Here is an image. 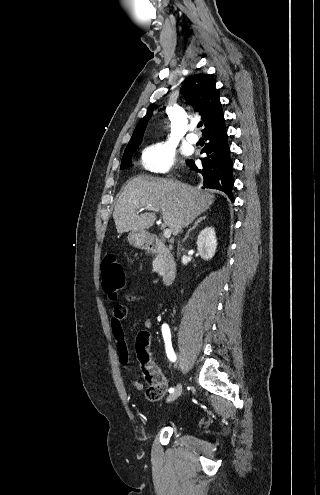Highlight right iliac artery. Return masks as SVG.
Listing matches in <instances>:
<instances>
[{"instance_id":"right-iliac-artery-1","label":"right iliac artery","mask_w":320,"mask_h":495,"mask_svg":"<svg viewBox=\"0 0 320 495\" xmlns=\"http://www.w3.org/2000/svg\"><path fill=\"white\" fill-rule=\"evenodd\" d=\"M162 335H163V338L165 341L167 357L170 361L175 362L176 361V355H175L174 350L172 348L170 328L166 323H164L162 325ZM173 391H174V388L171 387L169 389V393H172Z\"/></svg>"}]
</instances>
